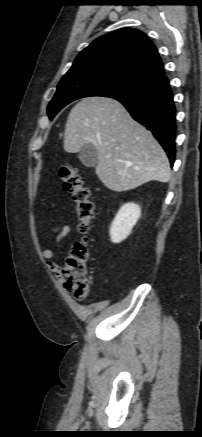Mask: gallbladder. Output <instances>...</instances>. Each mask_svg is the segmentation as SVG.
<instances>
[{
  "label": "gallbladder",
  "instance_id": "bac80fb5",
  "mask_svg": "<svg viewBox=\"0 0 202 437\" xmlns=\"http://www.w3.org/2000/svg\"><path fill=\"white\" fill-rule=\"evenodd\" d=\"M79 159L86 167H95L98 163L97 151L91 143H86L79 151Z\"/></svg>",
  "mask_w": 202,
  "mask_h": 437
}]
</instances>
